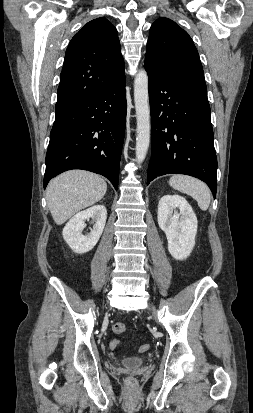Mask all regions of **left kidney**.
<instances>
[{"mask_svg":"<svg viewBox=\"0 0 253 413\" xmlns=\"http://www.w3.org/2000/svg\"><path fill=\"white\" fill-rule=\"evenodd\" d=\"M179 209V212L178 210ZM157 220L165 232L168 251L176 260L190 256L197 234V217L190 204L179 195H164L158 204Z\"/></svg>","mask_w":253,"mask_h":413,"instance_id":"5707ae66","label":"left kidney"}]
</instances>
